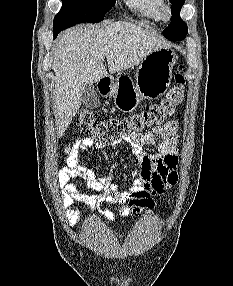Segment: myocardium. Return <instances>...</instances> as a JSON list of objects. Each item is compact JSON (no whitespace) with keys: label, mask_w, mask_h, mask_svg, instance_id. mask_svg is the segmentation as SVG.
Here are the masks:
<instances>
[{"label":"myocardium","mask_w":233,"mask_h":286,"mask_svg":"<svg viewBox=\"0 0 233 286\" xmlns=\"http://www.w3.org/2000/svg\"><path fill=\"white\" fill-rule=\"evenodd\" d=\"M159 16L164 22H169L172 19L173 12L171 5L166 0H160Z\"/></svg>","instance_id":"1"}]
</instances>
